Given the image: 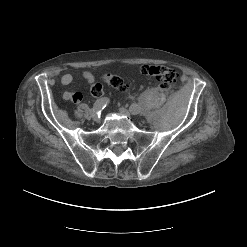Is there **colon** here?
<instances>
[{
	"label": "colon",
	"mask_w": 247,
	"mask_h": 247,
	"mask_svg": "<svg viewBox=\"0 0 247 247\" xmlns=\"http://www.w3.org/2000/svg\"><path fill=\"white\" fill-rule=\"evenodd\" d=\"M140 73L155 79L162 89H170L177 81V73L172 68L163 65H143L140 67ZM104 81L118 92L127 90L128 85L119 76L106 73ZM103 92L102 84L95 83L91 86V93L94 96H100Z\"/></svg>",
	"instance_id": "1"
}]
</instances>
